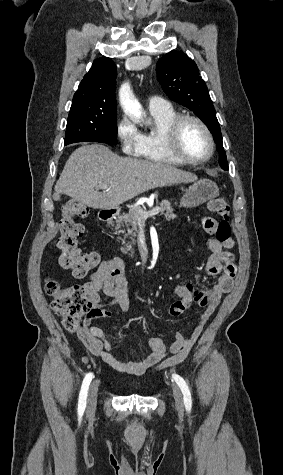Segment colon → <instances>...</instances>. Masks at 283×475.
<instances>
[{"label":"colon","instance_id":"1","mask_svg":"<svg viewBox=\"0 0 283 475\" xmlns=\"http://www.w3.org/2000/svg\"><path fill=\"white\" fill-rule=\"evenodd\" d=\"M209 210L215 213L219 220L217 224H226V233H217L216 238L231 239L230 229V205L226 198H214L208 203ZM62 219L60 221L61 234L57 240V247L60 251L59 262L63 269L69 270L74 277L83 278L91 274L99 265L100 256L96 252H85L79 244L78 239L83 235V226L80 220L88 215V208L81 203L67 200L62 208ZM186 291L197 297L194 286L190 282L186 283ZM45 289L52 298L51 308L58 314L64 328L69 332L79 330L82 317L88 309V298L81 285H62L56 279H47ZM192 297L185 295L179 303L172 304L168 310L170 317L182 314L185 309L191 306Z\"/></svg>","mask_w":283,"mask_h":475}]
</instances>
